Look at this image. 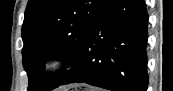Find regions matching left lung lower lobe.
Listing matches in <instances>:
<instances>
[{
    "mask_svg": "<svg viewBox=\"0 0 173 91\" xmlns=\"http://www.w3.org/2000/svg\"><path fill=\"white\" fill-rule=\"evenodd\" d=\"M147 28L144 0H110L58 86L84 82L112 91H146Z\"/></svg>",
    "mask_w": 173,
    "mask_h": 91,
    "instance_id": "1",
    "label": "left lung lower lobe"
}]
</instances>
